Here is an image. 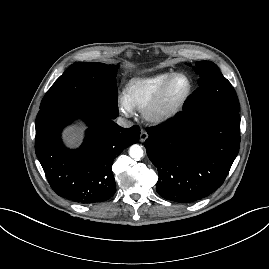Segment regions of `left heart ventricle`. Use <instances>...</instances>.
I'll list each match as a JSON object with an SVG mask.
<instances>
[{
	"label": "left heart ventricle",
	"mask_w": 269,
	"mask_h": 269,
	"mask_svg": "<svg viewBox=\"0 0 269 269\" xmlns=\"http://www.w3.org/2000/svg\"><path fill=\"white\" fill-rule=\"evenodd\" d=\"M187 90V80L183 77L176 78L170 85L165 95L164 104L169 105L178 101Z\"/></svg>",
	"instance_id": "left-heart-ventricle-1"
}]
</instances>
